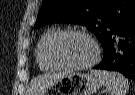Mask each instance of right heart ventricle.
<instances>
[{
    "instance_id": "1",
    "label": "right heart ventricle",
    "mask_w": 135,
    "mask_h": 95,
    "mask_svg": "<svg viewBox=\"0 0 135 95\" xmlns=\"http://www.w3.org/2000/svg\"><path fill=\"white\" fill-rule=\"evenodd\" d=\"M59 32V29L53 28L45 32L40 38L36 48V60L42 71H52L58 67L54 66L48 59L47 48L50 40Z\"/></svg>"
}]
</instances>
